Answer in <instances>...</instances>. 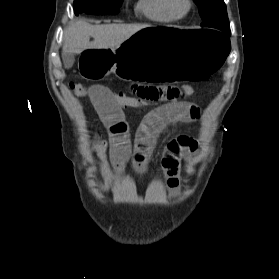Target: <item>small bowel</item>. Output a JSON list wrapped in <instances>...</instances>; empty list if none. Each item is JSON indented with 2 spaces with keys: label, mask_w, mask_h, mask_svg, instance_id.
I'll return each mask as SVG.
<instances>
[{
  "label": "small bowel",
  "mask_w": 279,
  "mask_h": 279,
  "mask_svg": "<svg viewBox=\"0 0 279 279\" xmlns=\"http://www.w3.org/2000/svg\"><path fill=\"white\" fill-rule=\"evenodd\" d=\"M174 88V86L132 85L131 89L135 95L152 97L162 103L144 113L132 143L129 125L125 120L122 107L113 100L112 92L103 85L89 87L87 98L90 99L101 123L109 133V157L117 171H122L125 165L130 163L136 172L144 173L156 139L165 126L170 123H190L199 118L198 105L185 99L170 98ZM197 149V141L187 135L178 136L166 145L161 166L171 195L176 196L180 192L181 161L188 163ZM92 150L103 154L107 150V144L95 137ZM110 186L109 182L100 185L102 190H107Z\"/></svg>",
  "instance_id": "c3829d8e"
}]
</instances>
